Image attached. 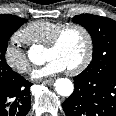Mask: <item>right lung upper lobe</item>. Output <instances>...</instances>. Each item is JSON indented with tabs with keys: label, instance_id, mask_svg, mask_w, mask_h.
<instances>
[{
	"label": "right lung upper lobe",
	"instance_id": "cb5924a9",
	"mask_svg": "<svg viewBox=\"0 0 116 116\" xmlns=\"http://www.w3.org/2000/svg\"><path fill=\"white\" fill-rule=\"evenodd\" d=\"M3 15H5V16H8V17H17V16H14V15H8V14H3Z\"/></svg>",
	"mask_w": 116,
	"mask_h": 116
}]
</instances>
